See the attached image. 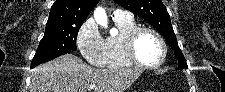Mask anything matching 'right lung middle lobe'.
I'll return each mask as SVG.
<instances>
[{"mask_svg": "<svg viewBox=\"0 0 225 92\" xmlns=\"http://www.w3.org/2000/svg\"><path fill=\"white\" fill-rule=\"evenodd\" d=\"M83 22L84 20H73L63 24L46 25L44 37L32 59L31 68L76 50V39Z\"/></svg>", "mask_w": 225, "mask_h": 92, "instance_id": "right-lung-middle-lobe-1", "label": "right lung middle lobe"}]
</instances>
